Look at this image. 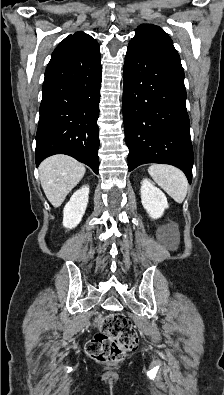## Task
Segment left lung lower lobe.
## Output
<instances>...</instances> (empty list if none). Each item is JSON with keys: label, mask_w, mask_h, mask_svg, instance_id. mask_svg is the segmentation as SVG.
Listing matches in <instances>:
<instances>
[{"label": "left lung lower lobe", "mask_w": 224, "mask_h": 395, "mask_svg": "<svg viewBox=\"0 0 224 395\" xmlns=\"http://www.w3.org/2000/svg\"><path fill=\"white\" fill-rule=\"evenodd\" d=\"M123 90L129 171L145 163L170 164L191 183L193 149L180 60L129 44Z\"/></svg>", "instance_id": "left-lung-lower-lobe-1"}]
</instances>
